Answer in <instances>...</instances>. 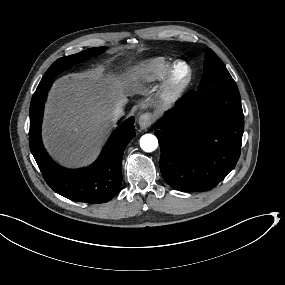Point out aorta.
<instances>
[{"mask_svg": "<svg viewBox=\"0 0 285 285\" xmlns=\"http://www.w3.org/2000/svg\"><path fill=\"white\" fill-rule=\"evenodd\" d=\"M140 147L145 152H152L158 147V140L152 134H145L140 139Z\"/></svg>", "mask_w": 285, "mask_h": 285, "instance_id": "obj_1", "label": "aorta"}]
</instances>
